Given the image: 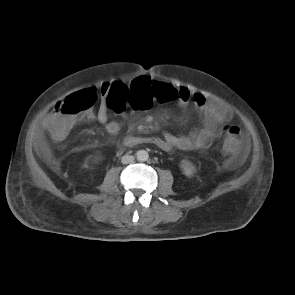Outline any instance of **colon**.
Masks as SVG:
<instances>
[{
	"label": "colon",
	"instance_id": "colon-1",
	"mask_svg": "<svg viewBox=\"0 0 295 295\" xmlns=\"http://www.w3.org/2000/svg\"><path fill=\"white\" fill-rule=\"evenodd\" d=\"M176 96L170 84L145 82L141 87H128L122 83L108 84L105 98L110 107L122 111L126 105L131 110H153L155 102H171ZM97 99V90L87 88L75 92L55 106L56 117L49 127L53 139H65L76 123L93 107ZM223 147L228 153H236L241 148L240 131L236 126L225 129Z\"/></svg>",
	"mask_w": 295,
	"mask_h": 295
}]
</instances>
